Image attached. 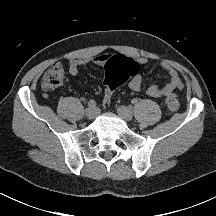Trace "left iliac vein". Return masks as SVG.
I'll list each match as a JSON object with an SVG mask.
<instances>
[{
	"label": "left iliac vein",
	"mask_w": 216,
	"mask_h": 216,
	"mask_svg": "<svg viewBox=\"0 0 216 216\" xmlns=\"http://www.w3.org/2000/svg\"><path fill=\"white\" fill-rule=\"evenodd\" d=\"M119 116L125 121H131L133 118V113L129 107L119 106L117 109Z\"/></svg>",
	"instance_id": "4c4485c4"
}]
</instances>
